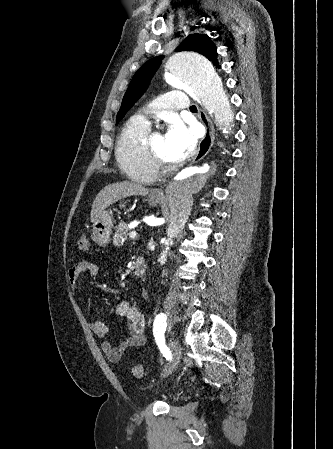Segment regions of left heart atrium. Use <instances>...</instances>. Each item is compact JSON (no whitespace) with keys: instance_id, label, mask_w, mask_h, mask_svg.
Wrapping results in <instances>:
<instances>
[{"instance_id":"39dd6f15","label":"left heart atrium","mask_w":333,"mask_h":449,"mask_svg":"<svg viewBox=\"0 0 333 449\" xmlns=\"http://www.w3.org/2000/svg\"><path fill=\"white\" fill-rule=\"evenodd\" d=\"M165 141L171 160L181 162L194 152L197 138L193 130L173 121L165 134Z\"/></svg>"}]
</instances>
